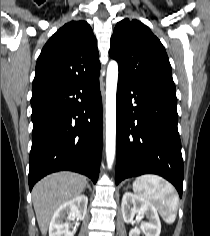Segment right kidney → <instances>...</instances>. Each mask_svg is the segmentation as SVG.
<instances>
[{"label":"right kidney","mask_w":210,"mask_h":236,"mask_svg":"<svg viewBox=\"0 0 210 236\" xmlns=\"http://www.w3.org/2000/svg\"><path fill=\"white\" fill-rule=\"evenodd\" d=\"M87 204L88 198L85 195L77 196L62 204L53 214L49 226V236H74L64 219L71 220L73 217L84 219Z\"/></svg>","instance_id":"ca27d5eb"}]
</instances>
